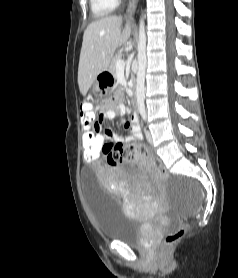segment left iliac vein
<instances>
[{"mask_svg":"<svg viewBox=\"0 0 238 278\" xmlns=\"http://www.w3.org/2000/svg\"><path fill=\"white\" fill-rule=\"evenodd\" d=\"M146 138H147L148 142H149L150 144H152L153 139H152L151 132H150L149 130L146 131Z\"/></svg>","mask_w":238,"mask_h":278,"instance_id":"obj_1","label":"left iliac vein"}]
</instances>
